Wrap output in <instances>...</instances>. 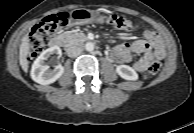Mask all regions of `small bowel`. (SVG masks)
Masks as SVG:
<instances>
[{"label":"small bowel","mask_w":194,"mask_h":133,"mask_svg":"<svg viewBox=\"0 0 194 133\" xmlns=\"http://www.w3.org/2000/svg\"><path fill=\"white\" fill-rule=\"evenodd\" d=\"M131 30L138 32L140 25L133 23ZM144 37L145 39L136 40L131 44L122 43L115 46L110 52L111 59L117 63H130L132 55L138 54L141 57L132 63V67L138 72L146 71L151 63L165 56V47L161 37L152 29L145 30Z\"/></svg>","instance_id":"1"}]
</instances>
